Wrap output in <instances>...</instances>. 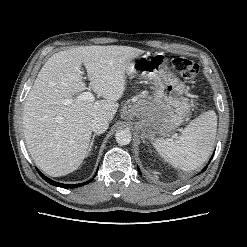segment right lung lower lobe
I'll list each match as a JSON object with an SVG mask.
<instances>
[{"label": "right lung lower lobe", "mask_w": 247, "mask_h": 247, "mask_svg": "<svg viewBox=\"0 0 247 247\" xmlns=\"http://www.w3.org/2000/svg\"><path fill=\"white\" fill-rule=\"evenodd\" d=\"M38 171V173L41 175V177L47 181L48 183H50L51 185H54V186H58V187H62V188H76V187H80V186H83L85 184H88L89 182H91L92 180L90 181H87V182H84V183H80V184H72V185H68V184H62V183H58V182H55L51 179H49L48 177H46L45 175H43L38 169H36Z\"/></svg>", "instance_id": "98d812e1"}]
</instances>
